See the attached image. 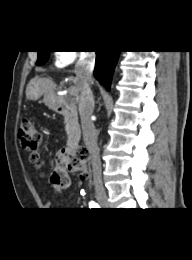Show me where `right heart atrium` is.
<instances>
[{
  "label": "right heart atrium",
  "mask_w": 192,
  "mask_h": 260,
  "mask_svg": "<svg viewBox=\"0 0 192 260\" xmlns=\"http://www.w3.org/2000/svg\"><path fill=\"white\" fill-rule=\"evenodd\" d=\"M79 58H81V54L75 51H60L56 53V63L62 67L71 65Z\"/></svg>",
  "instance_id": "1"
}]
</instances>
